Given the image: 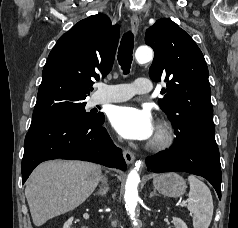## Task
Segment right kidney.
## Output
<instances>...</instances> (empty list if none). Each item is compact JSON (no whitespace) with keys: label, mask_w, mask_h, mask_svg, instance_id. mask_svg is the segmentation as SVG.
<instances>
[{"label":"right kidney","mask_w":238,"mask_h":228,"mask_svg":"<svg viewBox=\"0 0 238 228\" xmlns=\"http://www.w3.org/2000/svg\"><path fill=\"white\" fill-rule=\"evenodd\" d=\"M72 221H73V217H71L70 219H68V220L64 223L63 228H71Z\"/></svg>","instance_id":"right-kidney-1"}]
</instances>
